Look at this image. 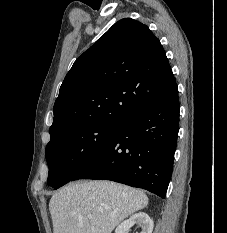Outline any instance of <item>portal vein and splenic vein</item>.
I'll return each instance as SVG.
<instances>
[{"label":"portal vein and splenic vein","instance_id":"18ae733b","mask_svg":"<svg viewBox=\"0 0 227 233\" xmlns=\"http://www.w3.org/2000/svg\"><path fill=\"white\" fill-rule=\"evenodd\" d=\"M88 218L92 219V218H93V216H92L91 214H89V215H88Z\"/></svg>","mask_w":227,"mask_h":233}]
</instances>
